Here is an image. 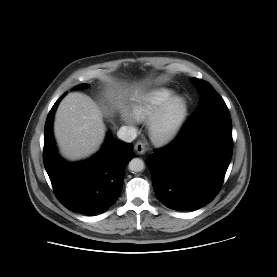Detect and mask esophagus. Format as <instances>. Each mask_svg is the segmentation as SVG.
<instances>
[{
    "instance_id": "esophagus-1",
    "label": "esophagus",
    "mask_w": 277,
    "mask_h": 277,
    "mask_svg": "<svg viewBox=\"0 0 277 277\" xmlns=\"http://www.w3.org/2000/svg\"><path fill=\"white\" fill-rule=\"evenodd\" d=\"M134 149L137 154H144L146 152V147L143 142L139 141L135 144Z\"/></svg>"
}]
</instances>
